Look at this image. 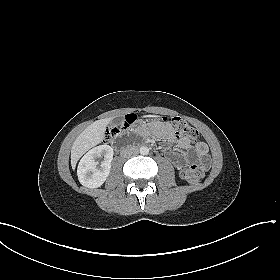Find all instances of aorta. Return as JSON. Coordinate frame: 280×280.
I'll return each instance as SVG.
<instances>
[{
  "label": "aorta",
  "mask_w": 280,
  "mask_h": 280,
  "mask_svg": "<svg viewBox=\"0 0 280 280\" xmlns=\"http://www.w3.org/2000/svg\"><path fill=\"white\" fill-rule=\"evenodd\" d=\"M141 155H148L149 154V148L146 146H142L139 150Z\"/></svg>",
  "instance_id": "obj_1"
}]
</instances>
